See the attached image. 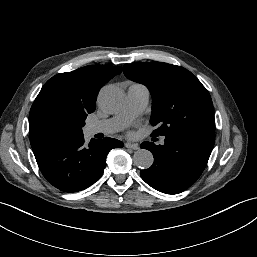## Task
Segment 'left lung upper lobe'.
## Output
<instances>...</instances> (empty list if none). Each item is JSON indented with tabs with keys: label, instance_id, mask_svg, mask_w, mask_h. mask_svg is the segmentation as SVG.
Wrapping results in <instances>:
<instances>
[{
	"label": "left lung upper lobe",
	"instance_id": "obj_1",
	"mask_svg": "<svg viewBox=\"0 0 257 257\" xmlns=\"http://www.w3.org/2000/svg\"><path fill=\"white\" fill-rule=\"evenodd\" d=\"M125 76L152 95V136L188 130H214L213 103L207 89L187 69L162 62L125 64Z\"/></svg>",
	"mask_w": 257,
	"mask_h": 257
}]
</instances>
